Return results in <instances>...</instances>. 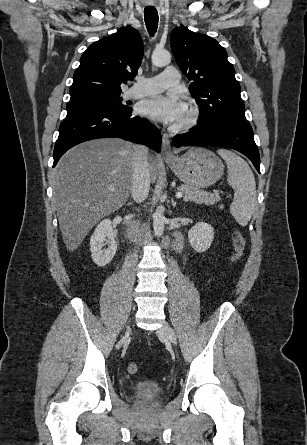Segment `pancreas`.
I'll use <instances>...</instances> for the list:
<instances>
[{"label":"pancreas","mask_w":307,"mask_h":445,"mask_svg":"<svg viewBox=\"0 0 307 445\" xmlns=\"http://www.w3.org/2000/svg\"><path fill=\"white\" fill-rule=\"evenodd\" d=\"M179 192H183L184 200H195L197 204H215L221 200L219 194L216 192H205L201 188H195V186H189V184H181L178 186Z\"/></svg>","instance_id":"pancreas-1"}]
</instances>
